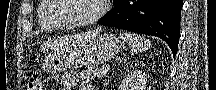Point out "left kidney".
<instances>
[{"instance_id":"1","label":"left kidney","mask_w":216,"mask_h":90,"mask_svg":"<svg viewBox=\"0 0 216 90\" xmlns=\"http://www.w3.org/2000/svg\"><path fill=\"white\" fill-rule=\"evenodd\" d=\"M147 74L140 72V70H134L129 72L128 76L122 80L119 90H146Z\"/></svg>"}]
</instances>
